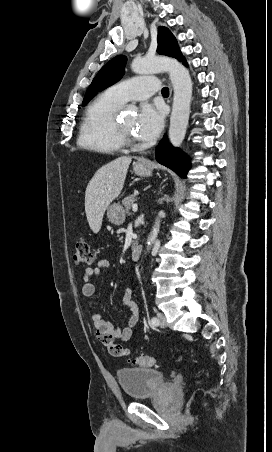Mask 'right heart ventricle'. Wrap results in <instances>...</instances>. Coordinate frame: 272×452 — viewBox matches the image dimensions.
Wrapping results in <instances>:
<instances>
[{"instance_id":"e07e8e85","label":"right heart ventricle","mask_w":272,"mask_h":452,"mask_svg":"<svg viewBox=\"0 0 272 452\" xmlns=\"http://www.w3.org/2000/svg\"><path fill=\"white\" fill-rule=\"evenodd\" d=\"M121 106L122 103L108 90L99 94L85 112L79 130L78 146L102 154L118 151L122 145L113 136L112 122Z\"/></svg>"}]
</instances>
